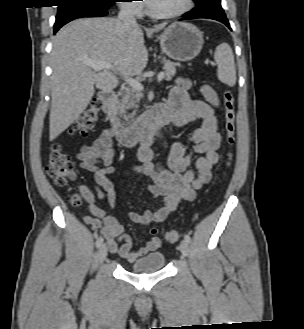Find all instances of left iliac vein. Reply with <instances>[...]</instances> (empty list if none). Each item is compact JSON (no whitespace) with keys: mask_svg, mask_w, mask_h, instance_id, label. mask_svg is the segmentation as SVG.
Wrapping results in <instances>:
<instances>
[{"mask_svg":"<svg viewBox=\"0 0 304 329\" xmlns=\"http://www.w3.org/2000/svg\"><path fill=\"white\" fill-rule=\"evenodd\" d=\"M179 249H180V252L182 253V255L187 256L188 249H189L188 242L185 240H182L180 242Z\"/></svg>","mask_w":304,"mask_h":329,"instance_id":"4c4485c4","label":"left iliac vein"}]
</instances>
